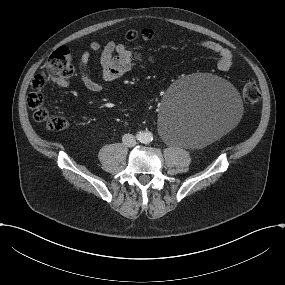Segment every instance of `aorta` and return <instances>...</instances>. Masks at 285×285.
Segmentation results:
<instances>
[{
    "label": "aorta",
    "mask_w": 285,
    "mask_h": 285,
    "mask_svg": "<svg viewBox=\"0 0 285 285\" xmlns=\"http://www.w3.org/2000/svg\"><path fill=\"white\" fill-rule=\"evenodd\" d=\"M153 140V134L151 132H143L140 135V141L143 143H150Z\"/></svg>",
    "instance_id": "obj_1"
}]
</instances>
